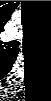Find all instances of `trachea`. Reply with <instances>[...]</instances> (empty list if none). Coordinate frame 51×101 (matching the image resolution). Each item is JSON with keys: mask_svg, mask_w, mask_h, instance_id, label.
I'll use <instances>...</instances> for the list:
<instances>
[{"mask_svg": "<svg viewBox=\"0 0 51 101\" xmlns=\"http://www.w3.org/2000/svg\"><path fill=\"white\" fill-rule=\"evenodd\" d=\"M29 44H30V45H35V44H34V41H32V40L29 41ZM6 45H9V46H11V47H18V46L20 45V42L14 40V41L8 42Z\"/></svg>", "mask_w": 51, "mask_h": 101, "instance_id": "obj_1", "label": "trachea"}]
</instances>
